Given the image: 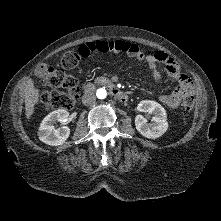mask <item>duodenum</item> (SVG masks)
Instances as JSON below:
<instances>
[{
  "label": "duodenum",
  "mask_w": 221,
  "mask_h": 221,
  "mask_svg": "<svg viewBox=\"0 0 221 221\" xmlns=\"http://www.w3.org/2000/svg\"><path fill=\"white\" fill-rule=\"evenodd\" d=\"M105 87H107L109 89V91L111 92V94L118 99L121 102H127L129 99V95L127 92L119 89L118 87H116L114 84H112L111 82L108 81H104L102 83ZM94 86L92 84H87L85 86V93H90L93 90Z\"/></svg>",
  "instance_id": "410a0bca"
}]
</instances>
